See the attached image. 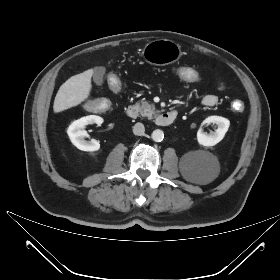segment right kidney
Returning a JSON list of instances; mask_svg holds the SVG:
<instances>
[{"instance_id":"1","label":"right kidney","mask_w":280,"mask_h":280,"mask_svg":"<svg viewBox=\"0 0 280 280\" xmlns=\"http://www.w3.org/2000/svg\"><path fill=\"white\" fill-rule=\"evenodd\" d=\"M102 124L103 118L96 115H89L82 117L78 120H75L71 123L69 126L67 133L68 136L73 143L74 146H76L78 149L82 151H97L100 149V143L99 141L92 139L91 141H87L84 139L85 136H88L87 132L82 130L85 126L90 124Z\"/></svg>"}]
</instances>
